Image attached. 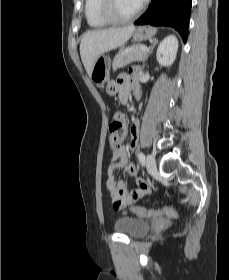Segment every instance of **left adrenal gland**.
Wrapping results in <instances>:
<instances>
[{"label": "left adrenal gland", "mask_w": 229, "mask_h": 280, "mask_svg": "<svg viewBox=\"0 0 229 280\" xmlns=\"http://www.w3.org/2000/svg\"><path fill=\"white\" fill-rule=\"evenodd\" d=\"M157 43H158V40H157V39H154V40H153V44H152V46L150 47V50H149V52H148L147 57L152 53V51H153L154 47L157 45ZM147 57H146V59H147ZM146 59H145V60H146ZM145 60L143 61L142 69L145 68Z\"/></svg>", "instance_id": "1"}]
</instances>
